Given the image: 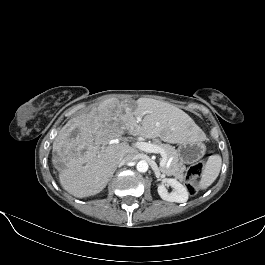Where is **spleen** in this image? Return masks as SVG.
<instances>
[{
	"instance_id": "spleen-1",
	"label": "spleen",
	"mask_w": 265,
	"mask_h": 265,
	"mask_svg": "<svg viewBox=\"0 0 265 265\" xmlns=\"http://www.w3.org/2000/svg\"><path fill=\"white\" fill-rule=\"evenodd\" d=\"M222 166V159L220 155H212L208 158L201 174L199 182L200 189L209 187L218 177Z\"/></svg>"
}]
</instances>
